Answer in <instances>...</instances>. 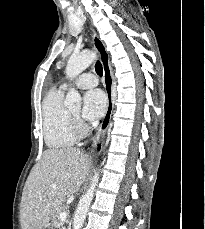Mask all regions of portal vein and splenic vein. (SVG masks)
Returning <instances> with one entry per match:
<instances>
[{"mask_svg":"<svg viewBox=\"0 0 205 229\" xmlns=\"http://www.w3.org/2000/svg\"><path fill=\"white\" fill-rule=\"evenodd\" d=\"M67 215H68V214H67V212H66V211L61 212V213H60V215H59L60 220H62V221L66 220Z\"/></svg>","mask_w":205,"mask_h":229,"instance_id":"portal-vein-and-splenic-vein-1","label":"portal vein and splenic vein"}]
</instances>
